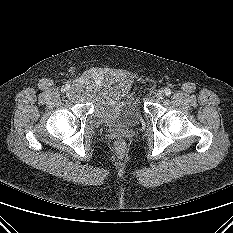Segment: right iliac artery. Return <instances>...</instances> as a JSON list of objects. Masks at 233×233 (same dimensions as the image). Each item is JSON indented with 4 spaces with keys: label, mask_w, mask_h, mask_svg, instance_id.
Here are the masks:
<instances>
[{
    "label": "right iliac artery",
    "mask_w": 233,
    "mask_h": 233,
    "mask_svg": "<svg viewBox=\"0 0 233 233\" xmlns=\"http://www.w3.org/2000/svg\"><path fill=\"white\" fill-rule=\"evenodd\" d=\"M68 88H69V86L66 85L65 87H62V88H61V91H62V92H65Z\"/></svg>",
    "instance_id": "82829eb1"
}]
</instances>
